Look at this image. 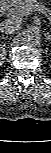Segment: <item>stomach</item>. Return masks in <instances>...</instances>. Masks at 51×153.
I'll return each instance as SVG.
<instances>
[{"label": "stomach", "mask_w": 51, "mask_h": 153, "mask_svg": "<svg viewBox=\"0 0 51 153\" xmlns=\"http://www.w3.org/2000/svg\"><path fill=\"white\" fill-rule=\"evenodd\" d=\"M10 2H15V3H19V2H23L24 0H9Z\"/></svg>", "instance_id": "obj_1"}]
</instances>
